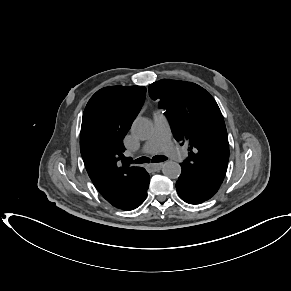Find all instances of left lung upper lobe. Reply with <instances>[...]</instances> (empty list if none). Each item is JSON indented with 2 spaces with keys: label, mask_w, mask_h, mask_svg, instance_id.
Segmentation results:
<instances>
[{
  "label": "left lung upper lobe",
  "mask_w": 291,
  "mask_h": 291,
  "mask_svg": "<svg viewBox=\"0 0 291 291\" xmlns=\"http://www.w3.org/2000/svg\"><path fill=\"white\" fill-rule=\"evenodd\" d=\"M149 95L166 110L175 139L189 147L182 169L221 185L228 166L229 143L214 98L195 83L168 79L149 85Z\"/></svg>",
  "instance_id": "obj_1"
}]
</instances>
